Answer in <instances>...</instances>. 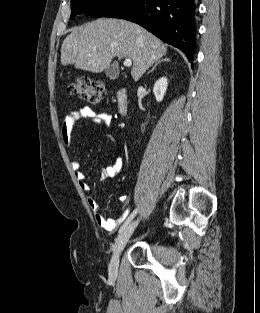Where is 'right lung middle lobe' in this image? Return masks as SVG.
<instances>
[{"label":"right lung middle lobe","mask_w":260,"mask_h":313,"mask_svg":"<svg viewBox=\"0 0 260 313\" xmlns=\"http://www.w3.org/2000/svg\"><path fill=\"white\" fill-rule=\"evenodd\" d=\"M124 0H71V19L85 14L102 17Z\"/></svg>","instance_id":"dd1d6c3e"}]
</instances>
